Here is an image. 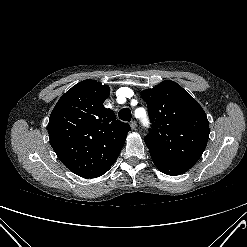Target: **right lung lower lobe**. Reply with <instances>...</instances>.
I'll use <instances>...</instances> for the list:
<instances>
[{
  "label": "right lung lower lobe",
  "mask_w": 247,
  "mask_h": 247,
  "mask_svg": "<svg viewBox=\"0 0 247 247\" xmlns=\"http://www.w3.org/2000/svg\"><path fill=\"white\" fill-rule=\"evenodd\" d=\"M109 169H110V168H109ZM109 169H107L106 171H104V172H103L102 174H100L99 176H101V175H103L104 173H106ZM99 176H98V177H99Z\"/></svg>",
  "instance_id": "right-lung-lower-lobe-1"
}]
</instances>
